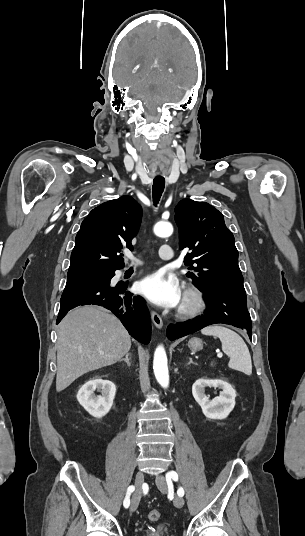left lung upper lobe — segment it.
<instances>
[{
    "label": "left lung upper lobe",
    "instance_id": "left-lung-upper-lobe-1",
    "mask_svg": "<svg viewBox=\"0 0 305 536\" xmlns=\"http://www.w3.org/2000/svg\"><path fill=\"white\" fill-rule=\"evenodd\" d=\"M180 250L189 248L186 275L203 291L245 290L234 236L223 215L208 203L183 199L175 208ZM197 265L193 267L192 265Z\"/></svg>",
    "mask_w": 305,
    "mask_h": 536
}]
</instances>
